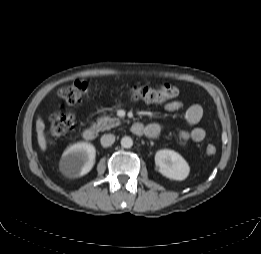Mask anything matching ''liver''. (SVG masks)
Segmentation results:
<instances>
[{
	"label": "liver",
	"instance_id": "obj_1",
	"mask_svg": "<svg viewBox=\"0 0 261 254\" xmlns=\"http://www.w3.org/2000/svg\"><path fill=\"white\" fill-rule=\"evenodd\" d=\"M36 125H37V134H38L37 135L38 144L42 150H45L46 149V140H45V137L43 134L45 125L41 120H38Z\"/></svg>",
	"mask_w": 261,
	"mask_h": 254
}]
</instances>
